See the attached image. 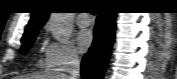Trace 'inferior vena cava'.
Masks as SVG:
<instances>
[{
    "mask_svg": "<svg viewBox=\"0 0 177 79\" xmlns=\"http://www.w3.org/2000/svg\"><path fill=\"white\" fill-rule=\"evenodd\" d=\"M67 72L70 76V79H79L80 77V60L74 53L70 55Z\"/></svg>",
    "mask_w": 177,
    "mask_h": 79,
    "instance_id": "1",
    "label": "inferior vena cava"
}]
</instances>
